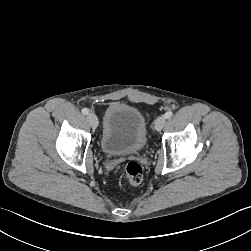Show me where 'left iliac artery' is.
I'll return each mask as SVG.
<instances>
[{
	"instance_id": "1",
	"label": "left iliac artery",
	"mask_w": 251,
	"mask_h": 251,
	"mask_svg": "<svg viewBox=\"0 0 251 251\" xmlns=\"http://www.w3.org/2000/svg\"><path fill=\"white\" fill-rule=\"evenodd\" d=\"M164 116H165L166 119H169V118H171L173 116V112L172 111H168V112L165 113Z\"/></svg>"
}]
</instances>
